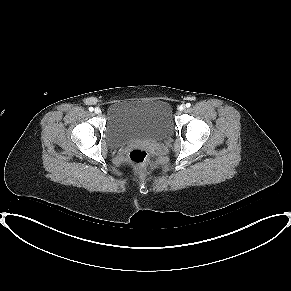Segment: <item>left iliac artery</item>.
Here are the masks:
<instances>
[{
  "mask_svg": "<svg viewBox=\"0 0 291 291\" xmlns=\"http://www.w3.org/2000/svg\"><path fill=\"white\" fill-rule=\"evenodd\" d=\"M190 106H191V104H190V103H187V104H186V107H187V108H189Z\"/></svg>",
  "mask_w": 291,
  "mask_h": 291,
  "instance_id": "left-iliac-artery-1",
  "label": "left iliac artery"
}]
</instances>
